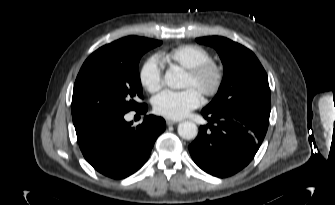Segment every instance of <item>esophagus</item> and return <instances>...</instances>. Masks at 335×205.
Returning <instances> with one entry per match:
<instances>
[{"label":"esophagus","mask_w":335,"mask_h":205,"mask_svg":"<svg viewBox=\"0 0 335 205\" xmlns=\"http://www.w3.org/2000/svg\"><path fill=\"white\" fill-rule=\"evenodd\" d=\"M166 123L168 126H171V125H174L177 123V121H174V120H166Z\"/></svg>","instance_id":"obj_1"}]
</instances>
